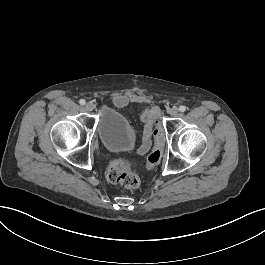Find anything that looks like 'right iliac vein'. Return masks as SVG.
<instances>
[{
    "instance_id": "63e3f726",
    "label": "right iliac vein",
    "mask_w": 265,
    "mask_h": 265,
    "mask_svg": "<svg viewBox=\"0 0 265 265\" xmlns=\"http://www.w3.org/2000/svg\"><path fill=\"white\" fill-rule=\"evenodd\" d=\"M94 108H95V106H94V104H93L92 102H88V103H86V105H85V109H86L87 111H89V112L93 111Z\"/></svg>"
}]
</instances>
